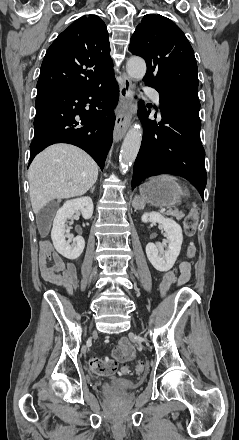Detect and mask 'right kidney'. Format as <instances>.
<instances>
[{
	"mask_svg": "<svg viewBox=\"0 0 239 440\" xmlns=\"http://www.w3.org/2000/svg\"><path fill=\"white\" fill-rule=\"evenodd\" d=\"M78 210L81 212L84 220L92 218L93 202L91 198L85 196V198L67 200L62 208H59L53 220V228L51 230V238L57 253H60L61 257H72V260H77L85 248V240L82 236L73 238L74 244H71L69 239H65L72 238V234H69L70 230L67 226V220H72V216ZM69 224H73V222H69Z\"/></svg>",
	"mask_w": 239,
	"mask_h": 440,
	"instance_id": "ca27d5eb",
	"label": "right kidney"
}]
</instances>
